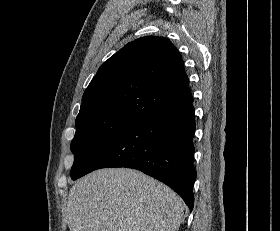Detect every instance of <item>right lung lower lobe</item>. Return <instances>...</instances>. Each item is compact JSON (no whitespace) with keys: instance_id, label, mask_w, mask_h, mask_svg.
I'll list each match as a JSON object with an SVG mask.
<instances>
[{"instance_id":"1","label":"right lung lower lobe","mask_w":280,"mask_h":231,"mask_svg":"<svg viewBox=\"0 0 280 231\" xmlns=\"http://www.w3.org/2000/svg\"><path fill=\"white\" fill-rule=\"evenodd\" d=\"M195 129L193 99L162 108L130 127L72 180L100 168L137 169L171 187L192 211Z\"/></svg>"}]
</instances>
